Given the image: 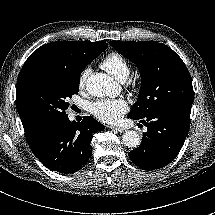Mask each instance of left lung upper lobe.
I'll list each match as a JSON object with an SVG mask.
<instances>
[{"label": "left lung upper lobe", "mask_w": 215, "mask_h": 215, "mask_svg": "<svg viewBox=\"0 0 215 215\" xmlns=\"http://www.w3.org/2000/svg\"><path fill=\"white\" fill-rule=\"evenodd\" d=\"M110 44L135 63L142 76L140 93L128 118L144 119L161 109L192 105L191 76L171 48L151 41H111Z\"/></svg>", "instance_id": "5c2ea615"}]
</instances>
